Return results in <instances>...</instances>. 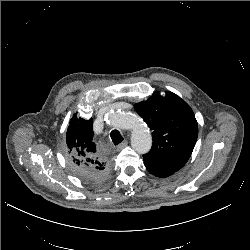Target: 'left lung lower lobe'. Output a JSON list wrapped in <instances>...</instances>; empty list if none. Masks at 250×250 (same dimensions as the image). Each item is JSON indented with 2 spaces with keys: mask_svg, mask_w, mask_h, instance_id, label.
Listing matches in <instances>:
<instances>
[{
  "mask_svg": "<svg viewBox=\"0 0 250 250\" xmlns=\"http://www.w3.org/2000/svg\"><path fill=\"white\" fill-rule=\"evenodd\" d=\"M144 164H145L147 170H148L151 174H153V175H155V176H157V177L164 178V177H168V176H170V175H172V174L174 173V172L165 171V170H161V169L152 167V166H150V165H148V164H146V163H144Z\"/></svg>",
  "mask_w": 250,
  "mask_h": 250,
  "instance_id": "0a47b994",
  "label": "left lung lower lobe"
}]
</instances>
